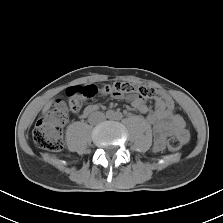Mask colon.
<instances>
[{"label": "colon", "mask_w": 223, "mask_h": 223, "mask_svg": "<svg viewBox=\"0 0 223 223\" xmlns=\"http://www.w3.org/2000/svg\"><path fill=\"white\" fill-rule=\"evenodd\" d=\"M98 91L111 96L136 95L141 100L161 99L169 111L174 110L176 102L168 94H165L148 85L118 81L98 88L96 85L74 86L68 89V105L58 101L50 110L40 117L34 126L32 139L34 144L52 152L61 151L64 147L62 128L68 121V111H79L86 100L92 99ZM182 142L178 137H170L167 141L168 149L176 152L181 148Z\"/></svg>", "instance_id": "colon-1"}]
</instances>
